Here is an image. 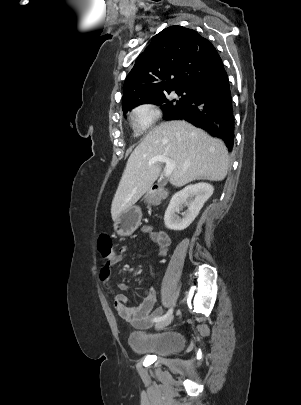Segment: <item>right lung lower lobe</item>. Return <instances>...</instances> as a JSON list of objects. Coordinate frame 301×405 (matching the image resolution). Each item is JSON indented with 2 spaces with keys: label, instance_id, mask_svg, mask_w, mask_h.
<instances>
[{
  "label": "right lung lower lobe",
  "instance_id": "98d812e1",
  "mask_svg": "<svg viewBox=\"0 0 301 405\" xmlns=\"http://www.w3.org/2000/svg\"><path fill=\"white\" fill-rule=\"evenodd\" d=\"M185 119L220 138L229 150L233 148L235 118L227 73L216 82L195 92L191 102L166 117Z\"/></svg>",
  "mask_w": 301,
  "mask_h": 405
}]
</instances>
